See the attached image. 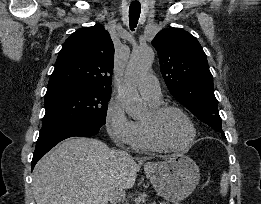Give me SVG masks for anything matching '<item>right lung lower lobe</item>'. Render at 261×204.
Here are the masks:
<instances>
[{"mask_svg": "<svg viewBox=\"0 0 261 204\" xmlns=\"http://www.w3.org/2000/svg\"><path fill=\"white\" fill-rule=\"evenodd\" d=\"M101 126L92 121H68L42 127L36 142L31 168L33 169L37 161L60 141L73 136H94Z\"/></svg>", "mask_w": 261, "mask_h": 204, "instance_id": "right-lung-lower-lobe-1", "label": "right lung lower lobe"}]
</instances>
